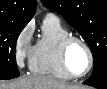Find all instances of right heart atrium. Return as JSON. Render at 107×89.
<instances>
[{
  "label": "right heart atrium",
  "instance_id": "1",
  "mask_svg": "<svg viewBox=\"0 0 107 89\" xmlns=\"http://www.w3.org/2000/svg\"><path fill=\"white\" fill-rule=\"evenodd\" d=\"M34 27L31 23L27 24L19 33L15 42V57L17 64L20 67L25 65V62L30 58L33 46Z\"/></svg>",
  "mask_w": 107,
  "mask_h": 89
}]
</instances>
